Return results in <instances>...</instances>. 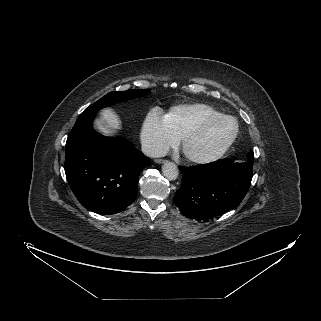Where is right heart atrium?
Instances as JSON below:
<instances>
[{"mask_svg":"<svg viewBox=\"0 0 321 321\" xmlns=\"http://www.w3.org/2000/svg\"><path fill=\"white\" fill-rule=\"evenodd\" d=\"M177 139L167 129L160 110L148 114L141 128V142L151 156L164 153Z\"/></svg>","mask_w":321,"mask_h":321,"instance_id":"obj_1","label":"right heart atrium"}]
</instances>
